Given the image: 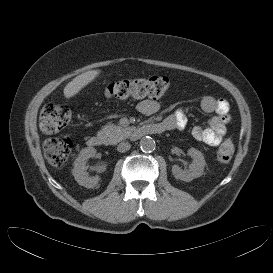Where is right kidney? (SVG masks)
<instances>
[{
    "label": "right kidney",
    "instance_id": "1",
    "mask_svg": "<svg viewBox=\"0 0 273 273\" xmlns=\"http://www.w3.org/2000/svg\"><path fill=\"white\" fill-rule=\"evenodd\" d=\"M96 154V150L93 147H87L80 151V154L74 161V167L72 169V175L79 185L86 188L94 187L98 181L99 177H89L87 173L86 163L89 158H93Z\"/></svg>",
    "mask_w": 273,
    "mask_h": 273
}]
</instances>
